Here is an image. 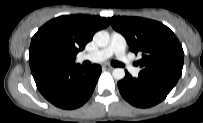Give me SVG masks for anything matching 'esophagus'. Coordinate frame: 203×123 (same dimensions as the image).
I'll return each mask as SVG.
<instances>
[{
    "instance_id": "obj_1",
    "label": "esophagus",
    "mask_w": 203,
    "mask_h": 123,
    "mask_svg": "<svg viewBox=\"0 0 203 123\" xmlns=\"http://www.w3.org/2000/svg\"><path fill=\"white\" fill-rule=\"evenodd\" d=\"M104 70H112L113 67L112 66H109V65H103L102 67Z\"/></svg>"
}]
</instances>
